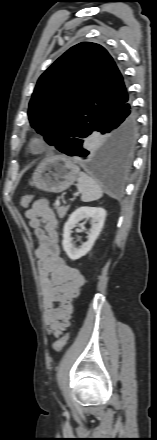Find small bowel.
I'll use <instances>...</instances> for the list:
<instances>
[{"label":"small bowel","instance_id":"obj_1","mask_svg":"<svg viewBox=\"0 0 157 440\" xmlns=\"http://www.w3.org/2000/svg\"><path fill=\"white\" fill-rule=\"evenodd\" d=\"M38 240L35 257L38 264L43 319L49 334L58 337L69 326L72 301L85 279L61 256L57 219L47 199L34 201L25 212Z\"/></svg>","mask_w":157,"mask_h":440}]
</instances>
